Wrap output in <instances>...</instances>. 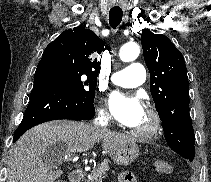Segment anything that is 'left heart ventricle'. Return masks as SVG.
Masks as SVG:
<instances>
[{
    "label": "left heart ventricle",
    "instance_id": "left-heart-ventricle-1",
    "mask_svg": "<svg viewBox=\"0 0 211 182\" xmlns=\"http://www.w3.org/2000/svg\"><path fill=\"white\" fill-rule=\"evenodd\" d=\"M151 125V119L149 115L145 112L140 122L133 127L135 130H146Z\"/></svg>",
    "mask_w": 211,
    "mask_h": 182
}]
</instances>
